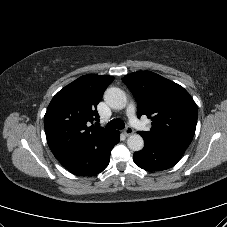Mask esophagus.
I'll return each instance as SVG.
<instances>
[{"mask_svg": "<svg viewBox=\"0 0 227 227\" xmlns=\"http://www.w3.org/2000/svg\"><path fill=\"white\" fill-rule=\"evenodd\" d=\"M134 130L130 127V126H127L125 129H124V134L126 136H130L131 134H133Z\"/></svg>", "mask_w": 227, "mask_h": 227, "instance_id": "obj_1", "label": "esophagus"}]
</instances>
